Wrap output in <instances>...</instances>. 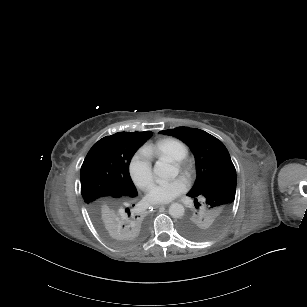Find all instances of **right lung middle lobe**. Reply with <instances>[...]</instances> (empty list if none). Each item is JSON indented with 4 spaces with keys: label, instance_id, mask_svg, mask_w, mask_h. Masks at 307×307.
Masks as SVG:
<instances>
[{
    "label": "right lung middle lobe",
    "instance_id": "obj_1",
    "mask_svg": "<svg viewBox=\"0 0 307 307\" xmlns=\"http://www.w3.org/2000/svg\"><path fill=\"white\" fill-rule=\"evenodd\" d=\"M84 202L113 193L119 188L116 174L93 157L85 158L80 172Z\"/></svg>",
    "mask_w": 307,
    "mask_h": 307
}]
</instances>
